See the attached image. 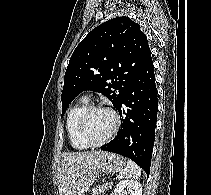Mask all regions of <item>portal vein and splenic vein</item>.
<instances>
[{
  "instance_id": "portal-vein-and-splenic-vein-1",
  "label": "portal vein and splenic vein",
  "mask_w": 211,
  "mask_h": 195,
  "mask_svg": "<svg viewBox=\"0 0 211 195\" xmlns=\"http://www.w3.org/2000/svg\"><path fill=\"white\" fill-rule=\"evenodd\" d=\"M107 187L111 188L112 187V183L107 184Z\"/></svg>"
}]
</instances>
